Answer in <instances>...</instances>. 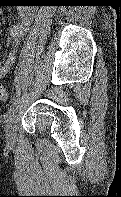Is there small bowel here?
Listing matches in <instances>:
<instances>
[{
    "instance_id": "small-bowel-1",
    "label": "small bowel",
    "mask_w": 121,
    "mask_h": 197,
    "mask_svg": "<svg viewBox=\"0 0 121 197\" xmlns=\"http://www.w3.org/2000/svg\"><path fill=\"white\" fill-rule=\"evenodd\" d=\"M2 10L0 9V15ZM33 20V11L29 8H22L19 10V20L10 29V51L8 56L4 60H0V78L5 77L12 65L15 62L16 50L20 45L22 37L28 31Z\"/></svg>"
}]
</instances>
